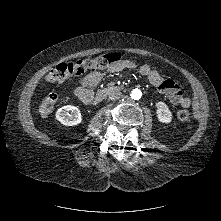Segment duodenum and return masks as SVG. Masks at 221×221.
<instances>
[{
    "instance_id": "1",
    "label": "duodenum",
    "mask_w": 221,
    "mask_h": 221,
    "mask_svg": "<svg viewBox=\"0 0 221 221\" xmlns=\"http://www.w3.org/2000/svg\"><path fill=\"white\" fill-rule=\"evenodd\" d=\"M115 89V87L112 88H105L100 90L96 95H93L86 103L89 102H100L103 100L110 92L111 90Z\"/></svg>"
}]
</instances>
